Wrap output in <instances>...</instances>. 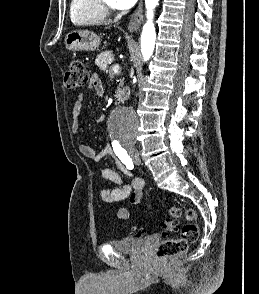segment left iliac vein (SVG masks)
<instances>
[{"label": "left iliac vein", "instance_id": "1", "mask_svg": "<svg viewBox=\"0 0 259 294\" xmlns=\"http://www.w3.org/2000/svg\"><path fill=\"white\" fill-rule=\"evenodd\" d=\"M130 155H131L133 161L135 162V164L139 165L141 163L140 158H139V154L136 150L130 151Z\"/></svg>", "mask_w": 259, "mask_h": 294}]
</instances>
